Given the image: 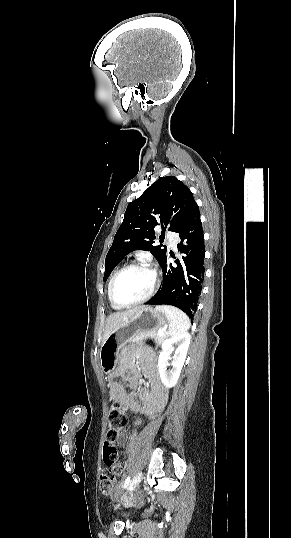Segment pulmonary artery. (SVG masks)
<instances>
[{
  "label": "pulmonary artery",
  "mask_w": 291,
  "mask_h": 538,
  "mask_svg": "<svg viewBox=\"0 0 291 538\" xmlns=\"http://www.w3.org/2000/svg\"><path fill=\"white\" fill-rule=\"evenodd\" d=\"M166 240H167L168 244L172 248H176V246H177V235L175 233L167 232L166 233Z\"/></svg>",
  "instance_id": "pulmonary-artery-1"
}]
</instances>
